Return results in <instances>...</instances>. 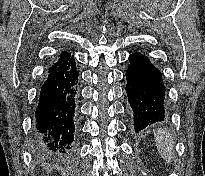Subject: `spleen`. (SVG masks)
<instances>
[{
    "label": "spleen",
    "mask_w": 205,
    "mask_h": 176,
    "mask_svg": "<svg viewBox=\"0 0 205 176\" xmlns=\"http://www.w3.org/2000/svg\"><path fill=\"white\" fill-rule=\"evenodd\" d=\"M155 141L161 157L167 163H171V155L173 151V140L171 135L163 129L158 130L155 137Z\"/></svg>",
    "instance_id": "spleen-1"
}]
</instances>
